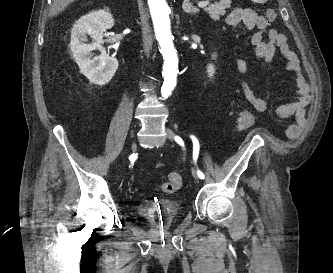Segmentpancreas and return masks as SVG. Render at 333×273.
Segmentation results:
<instances>
[{
    "label": "pancreas",
    "mask_w": 333,
    "mask_h": 273,
    "mask_svg": "<svg viewBox=\"0 0 333 273\" xmlns=\"http://www.w3.org/2000/svg\"><path fill=\"white\" fill-rule=\"evenodd\" d=\"M230 4L231 0H220L218 3L206 7L205 11L210 15L211 19L216 21L226 13V8H229Z\"/></svg>",
    "instance_id": "obj_1"
}]
</instances>
